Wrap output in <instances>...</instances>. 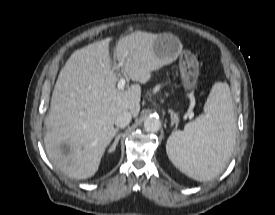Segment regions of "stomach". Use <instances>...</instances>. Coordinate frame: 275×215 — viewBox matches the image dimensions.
I'll return each instance as SVG.
<instances>
[{
  "instance_id": "1",
  "label": "stomach",
  "mask_w": 275,
  "mask_h": 215,
  "mask_svg": "<svg viewBox=\"0 0 275 215\" xmlns=\"http://www.w3.org/2000/svg\"><path fill=\"white\" fill-rule=\"evenodd\" d=\"M153 49L159 58L173 60L180 57L179 67L185 90L192 91L197 85L199 76V63L195 55L183 51L181 43L172 34H159L153 44Z\"/></svg>"
}]
</instances>
